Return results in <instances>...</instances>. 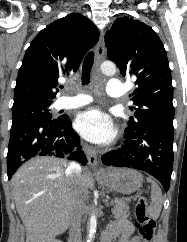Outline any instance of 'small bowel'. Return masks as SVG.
Instances as JSON below:
<instances>
[{
	"label": "small bowel",
	"instance_id": "1",
	"mask_svg": "<svg viewBox=\"0 0 187 242\" xmlns=\"http://www.w3.org/2000/svg\"><path fill=\"white\" fill-rule=\"evenodd\" d=\"M133 232L134 227L129 221L118 220L108 227L105 234H108L112 237L119 236V242H134V239L130 240Z\"/></svg>",
	"mask_w": 187,
	"mask_h": 242
}]
</instances>
